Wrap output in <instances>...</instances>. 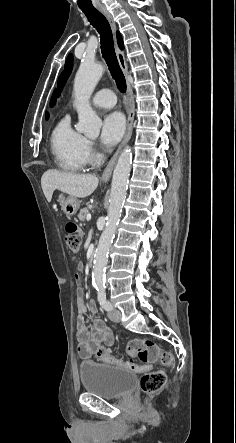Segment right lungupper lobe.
<instances>
[{
  "label": "right lung upper lobe",
  "mask_w": 236,
  "mask_h": 443,
  "mask_svg": "<svg viewBox=\"0 0 236 443\" xmlns=\"http://www.w3.org/2000/svg\"><path fill=\"white\" fill-rule=\"evenodd\" d=\"M117 40H118V45L121 49H123V41H122V37L121 34L119 32H117ZM46 118H48V113H46Z\"/></svg>",
  "instance_id": "1"
}]
</instances>
